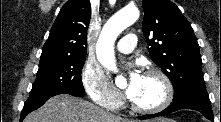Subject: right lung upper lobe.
<instances>
[{
	"instance_id": "1",
	"label": "right lung upper lobe",
	"mask_w": 221,
	"mask_h": 122,
	"mask_svg": "<svg viewBox=\"0 0 221 122\" xmlns=\"http://www.w3.org/2000/svg\"><path fill=\"white\" fill-rule=\"evenodd\" d=\"M90 18L91 4L89 0H69L66 2L43 46L41 60L85 57Z\"/></svg>"
}]
</instances>
